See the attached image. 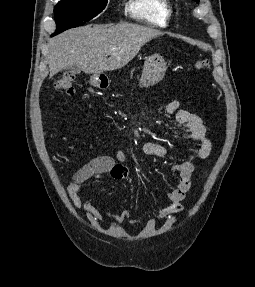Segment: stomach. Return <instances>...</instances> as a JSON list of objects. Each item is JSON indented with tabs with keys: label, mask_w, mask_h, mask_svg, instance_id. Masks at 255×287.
<instances>
[{
	"label": "stomach",
	"mask_w": 255,
	"mask_h": 287,
	"mask_svg": "<svg viewBox=\"0 0 255 287\" xmlns=\"http://www.w3.org/2000/svg\"><path fill=\"white\" fill-rule=\"evenodd\" d=\"M145 60V66L140 80L141 88H148V86H154V84L161 82L167 70V66L159 54H154V56L145 58ZM90 84L91 86H99L98 74L91 76Z\"/></svg>",
	"instance_id": "0dacf381"
}]
</instances>
